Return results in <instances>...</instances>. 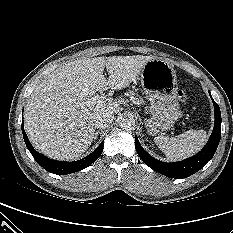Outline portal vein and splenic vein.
<instances>
[{"label": "portal vein and splenic vein", "mask_w": 233, "mask_h": 233, "mask_svg": "<svg viewBox=\"0 0 233 233\" xmlns=\"http://www.w3.org/2000/svg\"><path fill=\"white\" fill-rule=\"evenodd\" d=\"M108 99L103 96V95H96V96H93L89 99V103H91L92 105H95V104H103L107 101Z\"/></svg>", "instance_id": "obj_1"}]
</instances>
